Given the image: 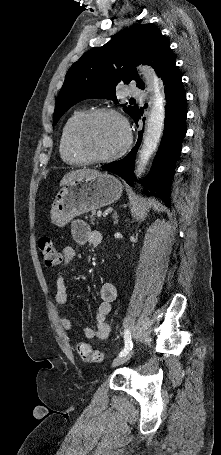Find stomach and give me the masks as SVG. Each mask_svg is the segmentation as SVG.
Here are the masks:
<instances>
[{"label":"stomach","instance_id":"obj_1","mask_svg":"<svg viewBox=\"0 0 221 455\" xmlns=\"http://www.w3.org/2000/svg\"><path fill=\"white\" fill-rule=\"evenodd\" d=\"M122 191L121 181L107 173L75 179L56 195L50 211L51 221L64 227L78 215L112 204Z\"/></svg>","mask_w":221,"mask_h":455}]
</instances>
